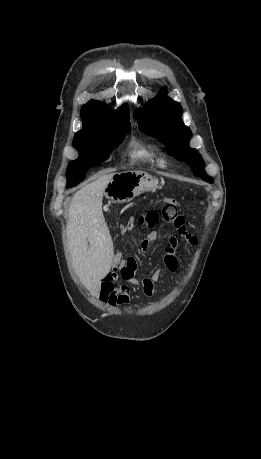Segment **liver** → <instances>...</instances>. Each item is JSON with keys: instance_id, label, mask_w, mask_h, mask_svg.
Returning <instances> with one entry per match:
<instances>
[{"instance_id": "liver-1", "label": "liver", "mask_w": 261, "mask_h": 459, "mask_svg": "<svg viewBox=\"0 0 261 459\" xmlns=\"http://www.w3.org/2000/svg\"><path fill=\"white\" fill-rule=\"evenodd\" d=\"M113 173L101 172L75 193L69 206L67 241L74 269L93 294L109 273L114 248L102 212L103 194ZM89 243V244H88Z\"/></svg>"}]
</instances>
